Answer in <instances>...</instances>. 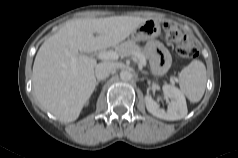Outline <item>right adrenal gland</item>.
Segmentation results:
<instances>
[{
	"label": "right adrenal gland",
	"mask_w": 238,
	"mask_h": 158,
	"mask_svg": "<svg viewBox=\"0 0 238 158\" xmlns=\"http://www.w3.org/2000/svg\"><path fill=\"white\" fill-rule=\"evenodd\" d=\"M99 82H100V80H98V81L96 82V85H98V84H99Z\"/></svg>",
	"instance_id": "obj_1"
}]
</instances>
